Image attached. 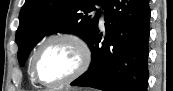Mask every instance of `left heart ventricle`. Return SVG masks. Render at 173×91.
<instances>
[{
	"label": "left heart ventricle",
	"mask_w": 173,
	"mask_h": 91,
	"mask_svg": "<svg viewBox=\"0 0 173 91\" xmlns=\"http://www.w3.org/2000/svg\"><path fill=\"white\" fill-rule=\"evenodd\" d=\"M79 64L77 49L66 41L47 45L40 54L37 72L44 82H57L70 75Z\"/></svg>",
	"instance_id": "b2bd125f"
}]
</instances>
